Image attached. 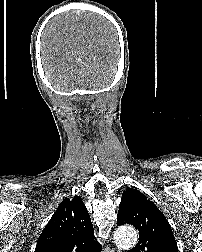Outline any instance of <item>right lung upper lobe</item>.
I'll list each match as a JSON object with an SVG mask.
<instances>
[{"instance_id":"1","label":"right lung upper lobe","mask_w":202,"mask_h":252,"mask_svg":"<svg viewBox=\"0 0 202 252\" xmlns=\"http://www.w3.org/2000/svg\"><path fill=\"white\" fill-rule=\"evenodd\" d=\"M79 196L65 198L41 233L35 252H101Z\"/></svg>"}]
</instances>
